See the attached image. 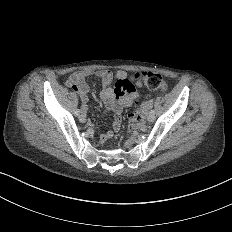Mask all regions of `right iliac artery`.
Returning a JSON list of instances; mask_svg holds the SVG:
<instances>
[{
  "mask_svg": "<svg viewBox=\"0 0 232 232\" xmlns=\"http://www.w3.org/2000/svg\"><path fill=\"white\" fill-rule=\"evenodd\" d=\"M74 114H75L76 116H79L80 110H79V109H76L75 112H74Z\"/></svg>",
  "mask_w": 232,
  "mask_h": 232,
  "instance_id": "right-iliac-artery-1",
  "label": "right iliac artery"
}]
</instances>
